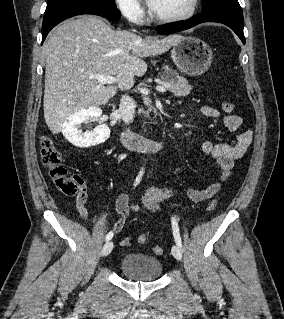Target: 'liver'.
Returning a JSON list of instances; mask_svg holds the SVG:
<instances>
[{
	"instance_id": "liver-1",
	"label": "liver",
	"mask_w": 284,
	"mask_h": 319,
	"mask_svg": "<svg viewBox=\"0 0 284 319\" xmlns=\"http://www.w3.org/2000/svg\"><path fill=\"white\" fill-rule=\"evenodd\" d=\"M180 35L144 38L114 31L101 18L83 15L57 26L43 47L46 62L44 118L53 134L75 112L105 105L118 88H131L147 71L144 57L168 51ZM96 75L115 76L105 86Z\"/></svg>"
}]
</instances>
